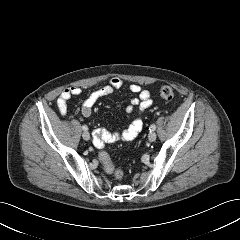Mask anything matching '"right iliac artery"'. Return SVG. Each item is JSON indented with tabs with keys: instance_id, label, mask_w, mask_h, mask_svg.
I'll use <instances>...</instances> for the list:
<instances>
[{
	"instance_id": "obj_1",
	"label": "right iliac artery",
	"mask_w": 240,
	"mask_h": 240,
	"mask_svg": "<svg viewBox=\"0 0 240 240\" xmlns=\"http://www.w3.org/2000/svg\"><path fill=\"white\" fill-rule=\"evenodd\" d=\"M82 129H83L84 131H86V130H88V127H87L86 125H83V126H82Z\"/></svg>"
}]
</instances>
